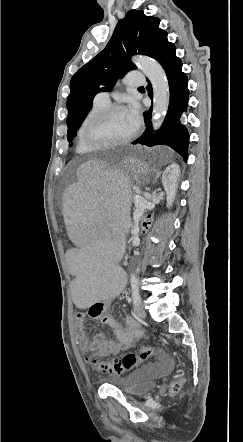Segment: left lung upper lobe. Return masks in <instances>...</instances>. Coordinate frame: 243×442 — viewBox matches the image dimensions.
Returning <instances> with one entry per match:
<instances>
[{"instance_id": "5c2ea615", "label": "left lung upper lobe", "mask_w": 243, "mask_h": 442, "mask_svg": "<svg viewBox=\"0 0 243 442\" xmlns=\"http://www.w3.org/2000/svg\"><path fill=\"white\" fill-rule=\"evenodd\" d=\"M160 20L146 16L141 10L129 11L119 20L108 44L92 60L83 65L70 82L67 99L69 142L92 108L94 96L110 91L119 77L136 69L130 57L135 54L154 58L167 32L159 28Z\"/></svg>"}]
</instances>
